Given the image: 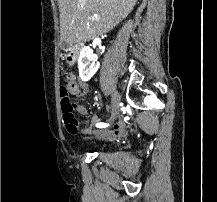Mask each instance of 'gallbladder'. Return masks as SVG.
<instances>
[{"label": "gallbladder", "mask_w": 217, "mask_h": 202, "mask_svg": "<svg viewBox=\"0 0 217 202\" xmlns=\"http://www.w3.org/2000/svg\"><path fill=\"white\" fill-rule=\"evenodd\" d=\"M67 45H68V44H67L66 42H65L64 44H62V49H63L64 51L67 49V48H66Z\"/></svg>", "instance_id": "bac80fb5"}]
</instances>
